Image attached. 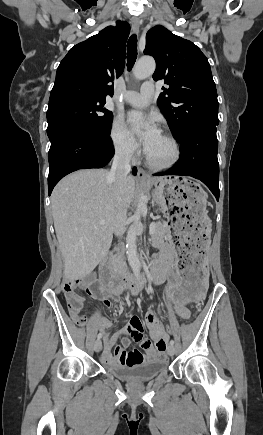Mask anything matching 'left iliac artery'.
<instances>
[{
    "mask_svg": "<svg viewBox=\"0 0 263 435\" xmlns=\"http://www.w3.org/2000/svg\"><path fill=\"white\" fill-rule=\"evenodd\" d=\"M170 345H174V341L173 340L170 341Z\"/></svg>",
    "mask_w": 263,
    "mask_h": 435,
    "instance_id": "44dca946",
    "label": "left iliac artery"
}]
</instances>
